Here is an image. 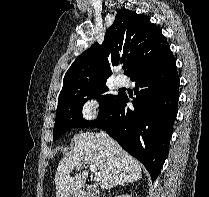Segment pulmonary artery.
Segmentation results:
<instances>
[{"label": "pulmonary artery", "mask_w": 209, "mask_h": 197, "mask_svg": "<svg viewBox=\"0 0 209 197\" xmlns=\"http://www.w3.org/2000/svg\"><path fill=\"white\" fill-rule=\"evenodd\" d=\"M115 83H116L117 86L122 87V86L125 85L126 80L122 77H118V78L115 79Z\"/></svg>", "instance_id": "pulmonary-artery-1"}]
</instances>
